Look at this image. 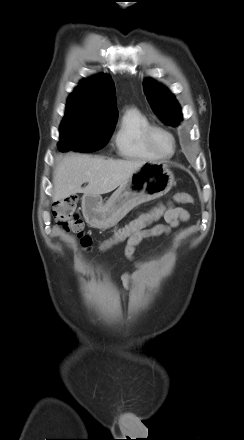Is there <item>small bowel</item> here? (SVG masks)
I'll return each instance as SVG.
<instances>
[{
    "label": "small bowel",
    "mask_w": 244,
    "mask_h": 440,
    "mask_svg": "<svg viewBox=\"0 0 244 440\" xmlns=\"http://www.w3.org/2000/svg\"><path fill=\"white\" fill-rule=\"evenodd\" d=\"M163 216L165 224H156L150 228L135 233L127 239L125 255L128 259H134L135 249L143 239L169 234L172 228L179 226L181 222H185L189 219V214L185 209L173 205L167 207ZM138 265L143 272L150 271L155 267L154 263H139ZM136 277L137 275L124 273L122 275L124 286L128 288Z\"/></svg>",
    "instance_id": "obj_1"
}]
</instances>
